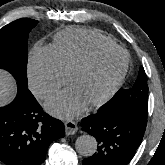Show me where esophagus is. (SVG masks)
I'll return each mask as SVG.
<instances>
[{
    "instance_id": "obj_1",
    "label": "esophagus",
    "mask_w": 165,
    "mask_h": 165,
    "mask_svg": "<svg viewBox=\"0 0 165 165\" xmlns=\"http://www.w3.org/2000/svg\"><path fill=\"white\" fill-rule=\"evenodd\" d=\"M65 130L67 135H73L77 132V124L74 121L68 120L64 122Z\"/></svg>"
}]
</instances>
